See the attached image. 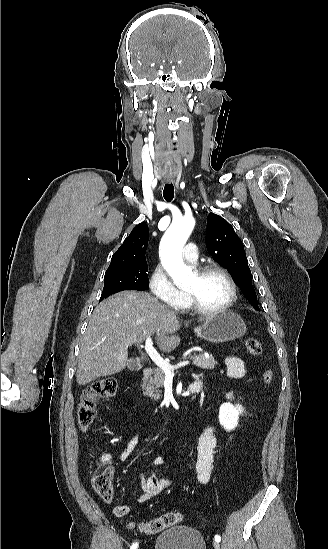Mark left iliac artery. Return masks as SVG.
Here are the masks:
<instances>
[{
    "mask_svg": "<svg viewBox=\"0 0 328 549\" xmlns=\"http://www.w3.org/2000/svg\"><path fill=\"white\" fill-rule=\"evenodd\" d=\"M215 541L220 542V541H221V537H220L219 535H215Z\"/></svg>",
    "mask_w": 328,
    "mask_h": 549,
    "instance_id": "1",
    "label": "left iliac artery"
}]
</instances>
